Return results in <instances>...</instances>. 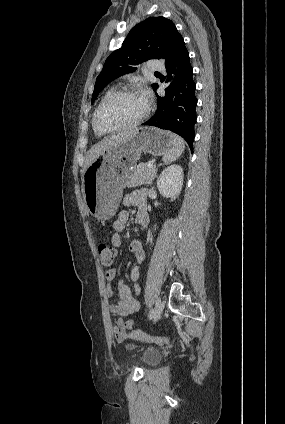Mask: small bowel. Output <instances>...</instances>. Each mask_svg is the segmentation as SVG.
I'll use <instances>...</instances> for the list:
<instances>
[{
	"label": "small bowel",
	"mask_w": 285,
	"mask_h": 424,
	"mask_svg": "<svg viewBox=\"0 0 285 424\" xmlns=\"http://www.w3.org/2000/svg\"><path fill=\"white\" fill-rule=\"evenodd\" d=\"M123 204L126 207H137L135 222L145 227L148 224V214L146 212V190L140 189L126 194L123 198ZM130 218V213L127 209L121 210L117 219L113 223L114 234L111 237V243L115 247L122 245L121 232L124 230ZM131 251L134 254L136 264L131 268L130 278L135 282L134 288H131L125 281L120 280L117 286H113V281L117 277V270L111 268L105 274V295L108 298L117 297V302L109 306L110 313L113 316L119 317V320L113 326L114 338L121 342L132 336L131 331L134 323L132 320L123 322L121 317H127L140 309V303L136 296L140 287L138 280L141 276V264L145 259V251L140 240H133L130 244Z\"/></svg>",
	"instance_id": "1"
}]
</instances>
